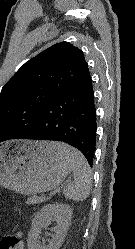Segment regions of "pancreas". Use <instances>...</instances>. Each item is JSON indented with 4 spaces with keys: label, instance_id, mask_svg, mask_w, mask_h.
<instances>
[{
    "label": "pancreas",
    "instance_id": "obj_1",
    "mask_svg": "<svg viewBox=\"0 0 135 249\" xmlns=\"http://www.w3.org/2000/svg\"><path fill=\"white\" fill-rule=\"evenodd\" d=\"M47 199L46 197L44 196H40V197H37V196H33L31 198H28L26 203L29 204V205H32V204H40L42 202H45Z\"/></svg>",
    "mask_w": 135,
    "mask_h": 249
}]
</instances>
